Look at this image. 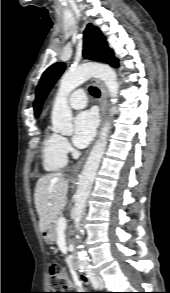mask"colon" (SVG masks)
<instances>
[{
  "label": "colon",
  "mask_w": 170,
  "mask_h": 293,
  "mask_svg": "<svg viewBox=\"0 0 170 293\" xmlns=\"http://www.w3.org/2000/svg\"><path fill=\"white\" fill-rule=\"evenodd\" d=\"M49 278L52 288L51 293H63L70 283L67 270L57 262H52L49 265Z\"/></svg>",
  "instance_id": "1"
}]
</instances>
